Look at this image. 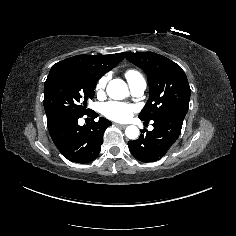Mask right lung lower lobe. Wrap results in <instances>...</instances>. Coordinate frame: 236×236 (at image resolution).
Returning <instances> with one entry per match:
<instances>
[{"label":"right lung lower lobe","instance_id":"1","mask_svg":"<svg viewBox=\"0 0 236 236\" xmlns=\"http://www.w3.org/2000/svg\"><path fill=\"white\" fill-rule=\"evenodd\" d=\"M85 115L92 118L98 116L92 110ZM79 118L61 116L47 121V125L51 138L60 153L69 161L83 164L98 156L103 143L104 131L112 123L101 117L97 122L91 118L92 122L88 126H80Z\"/></svg>","mask_w":236,"mask_h":236}]
</instances>
